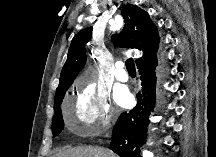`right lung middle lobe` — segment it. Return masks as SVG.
<instances>
[{
  "label": "right lung middle lobe",
  "instance_id": "dd1d6c3e",
  "mask_svg": "<svg viewBox=\"0 0 216 157\" xmlns=\"http://www.w3.org/2000/svg\"><path fill=\"white\" fill-rule=\"evenodd\" d=\"M69 87L65 88L64 90H62L58 96L55 97V101H54V117H53V123H52V133L53 136L58 135L63 127H64V122L62 119V112H61V108L60 105L62 103L63 97L66 93V91L68 90Z\"/></svg>",
  "mask_w": 216,
  "mask_h": 157
}]
</instances>
